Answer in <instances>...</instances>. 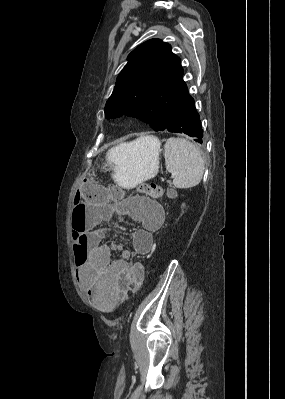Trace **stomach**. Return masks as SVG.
<instances>
[{
    "label": "stomach",
    "instance_id": "stomach-1",
    "mask_svg": "<svg viewBox=\"0 0 285 399\" xmlns=\"http://www.w3.org/2000/svg\"><path fill=\"white\" fill-rule=\"evenodd\" d=\"M159 154L160 141L146 136L110 149L106 166L119 185L131 188L157 175Z\"/></svg>",
    "mask_w": 285,
    "mask_h": 399
}]
</instances>
